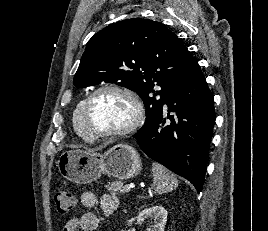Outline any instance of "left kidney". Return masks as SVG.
<instances>
[{
	"instance_id": "left-kidney-1",
	"label": "left kidney",
	"mask_w": 268,
	"mask_h": 231,
	"mask_svg": "<svg viewBox=\"0 0 268 231\" xmlns=\"http://www.w3.org/2000/svg\"><path fill=\"white\" fill-rule=\"evenodd\" d=\"M168 212L163 206H152L141 211L137 217V221L143 223L145 220H151L153 225L147 228L148 231H164ZM136 218H132L128 221V224H132Z\"/></svg>"
}]
</instances>
